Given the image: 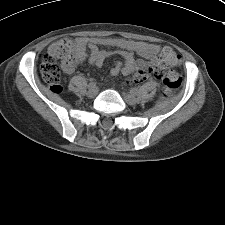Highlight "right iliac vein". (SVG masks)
Masks as SVG:
<instances>
[{"label": "right iliac vein", "mask_w": 225, "mask_h": 225, "mask_svg": "<svg viewBox=\"0 0 225 225\" xmlns=\"http://www.w3.org/2000/svg\"><path fill=\"white\" fill-rule=\"evenodd\" d=\"M97 93H98V88H97L96 85H94L92 87H89V90L87 92V96L89 98H93V97H95L97 95Z\"/></svg>", "instance_id": "1"}]
</instances>
